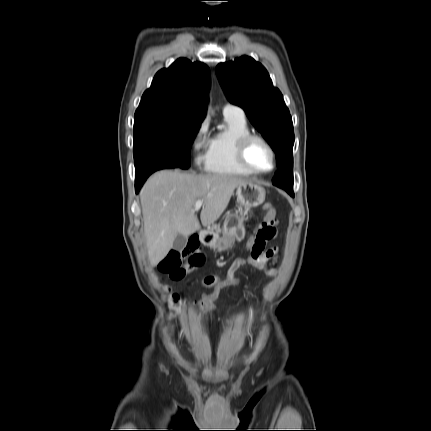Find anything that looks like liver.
<instances>
[{
	"label": "liver",
	"instance_id": "6515ba94",
	"mask_svg": "<svg viewBox=\"0 0 431 431\" xmlns=\"http://www.w3.org/2000/svg\"><path fill=\"white\" fill-rule=\"evenodd\" d=\"M248 180L224 174H190L162 170L153 174L140 192L148 259L152 266L162 261L178 234L189 236L200 229L194 209L203 201L200 220L210 226L227 208L239 185Z\"/></svg>",
	"mask_w": 431,
	"mask_h": 431
}]
</instances>
